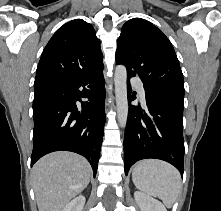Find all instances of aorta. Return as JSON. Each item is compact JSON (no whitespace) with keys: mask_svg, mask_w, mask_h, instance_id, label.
Returning a JSON list of instances; mask_svg holds the SVG:
<instances>
[{"mask_svg":"<svg viewBox=\"0 0 221 211\" xmlns=\"http://www.w3.org/2000/svg\"><path fill=\"white\" fill-rule=\"evenodd\" d=\"M114 81L118 122L120 127L124 128L128 117L127 70L124 65L116 67Z\"/></svg>","mask_w":221,"mask_h":211,"instance_id":"762f6f07","label":"aorta"}]
</instances>
